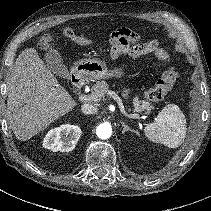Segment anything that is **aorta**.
Segmentation results:
<instances>
[{
	"instance_id": "762f6f07",
	"label": "aorta",
	"mask_w": 211,
	"mask_h": 211,
	"mask_svg": "<svg viewBox=\"0 0 211 211\" xmlns=\"http://www.w3.org/2000/svg\"><path fill=\"white\" fill-rule=\"evenodd\" d=\"M96 134L100 139H108L112 135V128L109 124H100L97 126Z\"/></svg>"
}]
</instances>
